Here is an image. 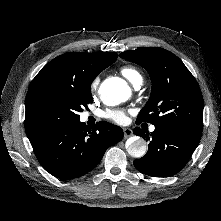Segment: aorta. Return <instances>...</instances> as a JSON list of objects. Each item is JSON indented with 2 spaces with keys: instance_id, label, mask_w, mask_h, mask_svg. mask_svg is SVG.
I'll use <instances>...</instances> for the list:
<instances>
[{
  "instance_id": "obj_1",
  "label": "aorta",
  "mask_w": 221,
  "mask_h": 221,
  "mask_svg": "<svg viewBox=\"0 0 221 221\" xmlns=\"http://www.w3.org/2000/svg\"><path fill=\"white\" fill-rule=\"evenodd\" d=\"M99 93L103 102L107 105H117L121 103L128 93L127 86L115 79H106L102 82ZM126 150L134 158H141L146 154V141L138 136L128 139Z\"/></svg>"
}]
</instances>
